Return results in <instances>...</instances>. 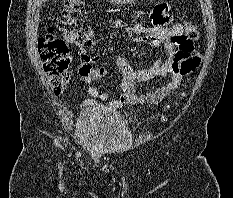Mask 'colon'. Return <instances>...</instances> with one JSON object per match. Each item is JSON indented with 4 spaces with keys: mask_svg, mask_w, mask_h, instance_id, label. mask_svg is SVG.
Instances as JSON below:
<instances>
[{
    "mask_svg": "<svg viewBox=\"0 0 233 198\" xmlns=\"http://www.w3.org/2000/svg\"><path fill=\"white\" fill-rule=\"evenodd\" d=\"M64 6L63 19L57 22V29L62 32L65 39L82 47H91L94 42V34L90 30L78 27L83 10V0H61ZM186 40L185 48L191 49L193 41L199 37L198 28L189 22L182 23ZM38 53L52 90L59 94L71 80V58L66 42L57 37L53 28L41 34L37 40ZM201 57L197 54L184 53L175 58L174 69L181 75L193 73L200 65Z\"/></svg>",
    "mask_w": 233,
    "mask_h": 198,
    "instance_id": "5ec220e1",
    "label": "colon"
}]
</instances>
